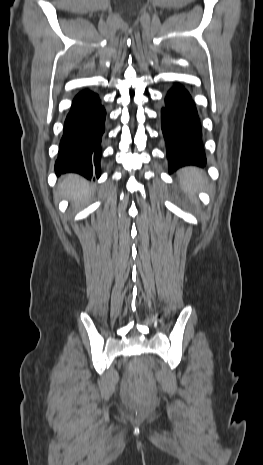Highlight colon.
<instances>
[{"label": "colon", "instance_id": "5ec220e1", "mask_svg": "<svg viewBox=\"0 0 263 465\" xmlns=\"http://www.w3.org/2000/svg\"><path fill=\"white\" fill-rule=\"evenodd\" d=\"M135 386L137 388V392L139 396L144 399L145 401H150L151 397L147 392H145V380L142 376L135 377Z\"/></svg>", "mask_w": 263, "mask_h": 465}]
</instances>
